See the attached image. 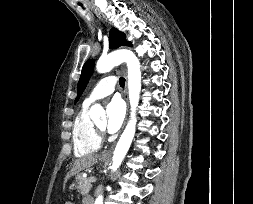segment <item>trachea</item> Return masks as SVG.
<instances>
[{
    "label": "trachea",
    "mask_w": 253,
    "mask_h": 204,
    "mask_svg": "<svg viewBox=\"0 0 253 204\" xmlns=\"http://www.w3.org/2000/svg\"><path fill=\"white\" fill-rule=\"evenodd\" d=\"M119 84H120L121 87H124V85H125V79L123 77H120Z\"/></svg>",
    "instance_id": "3493384b"
}]
</instances>
